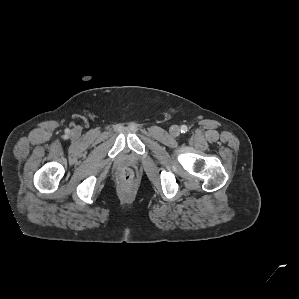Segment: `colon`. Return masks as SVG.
Returning a JSON list of instances; mask_svg holds the SVG:
<instances>
[{"mask_svg": "<svg viewBox=\"0 0 299 299\" xmlns=\"http://www.w3.org/2000/svg\"><path fill=\"white\" fill-rule=\"evenodd\" d=\"M133 177H134L133 172L130 169H124L120 174V178H121L122 182L125 184L131 183L133 180Z\"/></svg>", "mask_w": 299, "mask_h": 299, "instance_id": "5ec220e1", "label": "colon"}]
</instances>
